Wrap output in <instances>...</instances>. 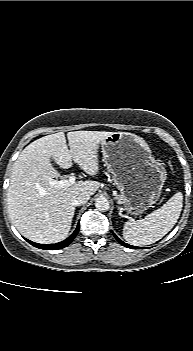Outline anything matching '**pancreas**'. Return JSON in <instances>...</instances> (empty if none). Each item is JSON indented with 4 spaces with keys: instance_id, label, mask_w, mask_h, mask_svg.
I'll use <instances>...</instances> for the list:
<instances>
[{
    "instance_id": "obj_1",
    "label": "pancreas",
    "mask_w": 193,
    "mask_h": 351,
    "mask_svg": "<svg viewBox=\"0 0 193 351\" xmlns=\"http://www.w3.org/2000/svg\"><path fill=\"white\" fill-rule=\"evenodd\" d=\"M123 195L122 194H120V195H118L116 198L119 200V201H121L122 202V200H123Z\"/></svg>"
}]
</instances>
